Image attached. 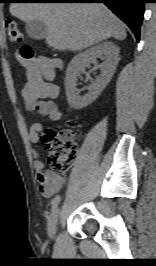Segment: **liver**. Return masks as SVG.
Listing matches in <instances>:
<instances>
[{
  "label": "liver",
  "instance_id": "1",
  "mask_svg": "<svg viewBox=\"0 0 156 266\" xmlns=\"http://www.w3.org/2000/svg\"><path fill=\"white\" fill-rule=\"evenodd\" d=\"M12 16L42 21L46 43L59 51H80L105 39L126 38L125 25L102 3H11Z\"/></svg>",
  "mask_w": 156,
  "mask_h": 266
}]
</instances>
